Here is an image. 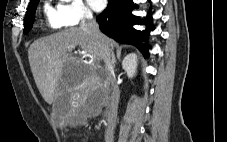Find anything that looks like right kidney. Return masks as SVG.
<instances>
[{
    "label": "right kidney",
    "instance_id": "1",
    "mask_svg": "<svg viewBox=\"0 0 227 142\" xmlns=\"http://www.w3.org/2000/svg\"><path fill=\"white\" fill-rule=\"evenodd\" d=\"M122 68L127 73V76L132 78L136 73L137 55L135 53L128 54L122 61Z\"/></svg>",
    "mask_w": 227,
    "mask_h": 142
}]
</instances>
